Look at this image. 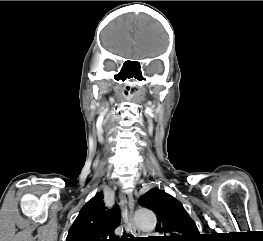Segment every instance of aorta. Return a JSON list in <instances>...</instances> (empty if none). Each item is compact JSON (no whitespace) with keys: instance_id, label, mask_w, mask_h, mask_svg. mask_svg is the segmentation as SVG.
<instances>
[{"instance_id":"762f6f07","label":"aorta","mask_w":263,"mask_h":241,"mask_svg":"<svg viewBox=\"0 0 263 241\" xmlns=\"http://www.w3.org/2000/svg\"><path fill=\"white\" fill-rule=\"evenodd\" d=\"M135 220L137 226L143 231H152L156 226V216L155 214L147 208H139L135 212Z\"/></svg>"}]
</instances>
